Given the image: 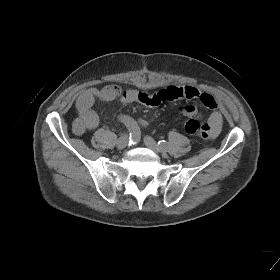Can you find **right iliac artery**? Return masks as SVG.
Masks as SVG:
<instances>
[{
    "instance_id": "right-iliac-artery-1",
    "label": "right iliac artery",
    "mask_w": 280,
    "mask_h": 280,
    "mask_svg": "<svg viewBox=\"0 0 280 280\" xmlns=\"http://www.w3.org/2000/svg\"><path fill=\"white\" fill-rule=\"evenodd\" d=\"M120 120L129 130V145H136L141 138V131L137 123L129 116H121Z\"/></svg>"
}]
</instances>
